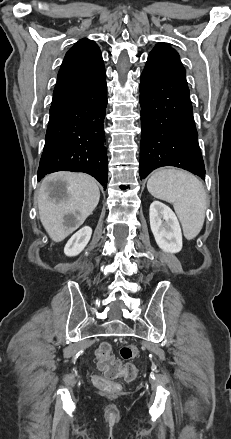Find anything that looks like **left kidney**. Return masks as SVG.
<instances>
[{
	"label": "left kidney",
	"instance_id": "left-kidney-1",
	"mask_svg": "<svg viewBox=\"0 0 231 439\" xmlns=\"http://www.w3.org/2000/svg\"><path fill=\"white\" fill-rule=\"evenodd\" d=\"M150 227L160 249L178 253L182 249V232L175 213L165 204L153 201L149 209Z\"/></svg>",
	"mask_w": 231,
	"mask_h": 439
}]
</instances>
